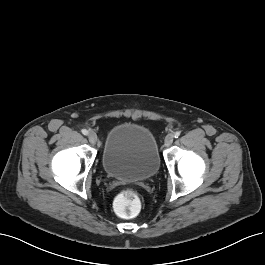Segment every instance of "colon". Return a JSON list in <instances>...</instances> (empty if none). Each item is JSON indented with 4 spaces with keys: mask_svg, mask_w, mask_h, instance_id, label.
Wrapping results in <instances>:
<instances>
[{
    "mask_svg": "<svg viewBox=\"0 0 265 265\" xmlns=\"http://www.w3.org/2000/svg\"><path fill=\"white\" fill-rule=\"evenodd\" d=\"M114 207L119 216L133 218L141 207L139 196L134 190L125 189L116 197Z\"/></svg>",
    "mask_w": 265,
    "mask_h": 265,
    "instance_id": "obj_1",
    "label": "colon"
}]
</instances>
